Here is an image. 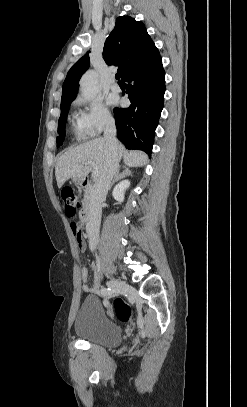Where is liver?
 <instances>
[{
    "label": "liver",
    "instance_id": "obj_1",
    "mask_svg": "<svg viewBox=\"0 0 247 407\" xmlns=\"http://www.w3.org/2000/svg\"><path fill=\"white\" fill-rule=\"evenodd\" d=\"M109 147L104 138H97L85 142L73 149L66 151L57 160L55 176L59 188L70 178H85L91 171L88 161H94L99 171V176L106 167ZM118 159L124 158V163L129 167L143 166L148 162V157L141 151H128L117 142Z\"/></svg>",
    "mask_w": 247,
    "mask_h": 407
}]
</instances>
